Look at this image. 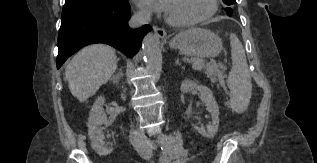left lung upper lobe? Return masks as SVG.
Here are the masks:
<instances>
[{
  "label": "left lung upper lobe",
  "instance_id": "left-lung-upper-lobe-1",
  "mask_svg": "<svg viewBox=\"0 0 317 163\" xmlns=\"http://www.w3.org/2000/svg\"><path fill=\"white\" fill-rule=\"evenodd\" d=\"M235 0H223V2L227 5H232ZM225 11L230 15L232 13L231 8H225Z\"/></svg>",
  "mask_w": 317,
  "mask_h": 163
}]
</instances>
